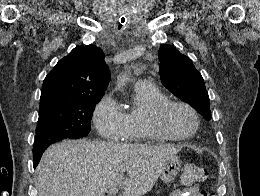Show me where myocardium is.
Listing matches in <instances>:
<instances>
[{
  "label": "myocardium",
  "mask_w": 260,
  "mask_h": 196,
  "mask_svg": "<svg viewBox=\"0 0 260 196\" xmlns=\"http://www.w3.org/2000/svg\"><path fill=\"white\" fill-rule=\"evenodd\" d=\"M178 106L186 109L194 118V127L184 135H172L161 126V118L171 107ZM198 112L186 102L167 99L156 104L144 118V124L148 130L159 136L162 140L185 142L188 141L198 130ZM100 190H98L99 192Z\"/></svg>",
  "instance_id": "obj_1"
}]
</instances>
